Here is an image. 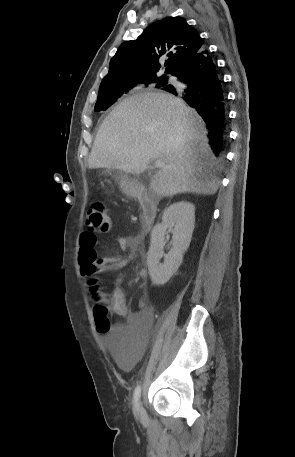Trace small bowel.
I'll use <instances>...</instances> for the list:
<instances>
[{"label": "small bowel", "mask_w": 295, "mask_h": 457, "mask_svg": "<svg viewBox=\"0 0 295 457\" xmlns=\"http://www.w3.org/2000/svg\"><path fill=\"white\" fill-rule=\"evenodd\" d=\"M117 242L124 253L123 256L98 257L96 253V234L90 230L83 231L79 239L80 265L82 266L83 262H88L100 271L118 270L125 267L135 255L141 238L132 235H118ZM121 283L122 280L118 279L111 285V309L115 315L124 318L126 323L111 327L107 332L106 338H136L135 335L137 333L147 334L153 322L152 307L143 302L137 312L130 313Z\"/></svg>", "instance_id": "1"}]
</instances>
